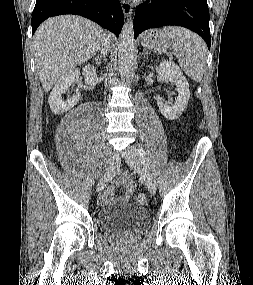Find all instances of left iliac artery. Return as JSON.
Wrapping results in <instances>:
<instances>
[{"mask_svg":"<svg viewBox=\"0 0 253 285\" xmlns=\"http://www.w3.org/2000/svg\"><path fill=\"white\" fill-rule=\"evenodd\" d=\"M138 150H139V154H140L144 164H146L148 167H150V161H149V158H148L145 150L140 145H138Z\"/></svg>","mask_w":253,"mask_h":285,"instance_id":"left-iliac-artery-1","label":"left iliac artery"}]
</instances>
